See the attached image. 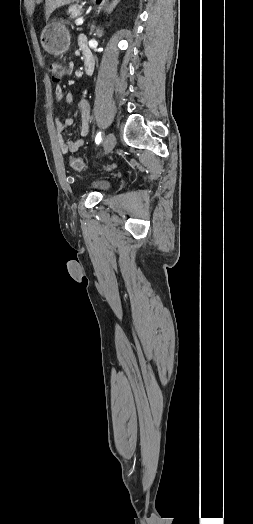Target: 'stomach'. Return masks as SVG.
Masks as SVG:
<instances>
[{"mask_svg": "<svg viewBox=\"0 0 253 524\" xmlns=\"http://www.w3.org/2000/svg\"><path fill=\"white\" fill-rule=\"evenodd\" d=\"M94 2L99 0H92ZM41 44L45 51L53 55H62L70 45V34L61 22L49 23L41 34Z\"/></svg>", "mask_w": 253, "mask_h": 524, "instance_id": "0dacf381", "label": "stomach"}]
</instances>
